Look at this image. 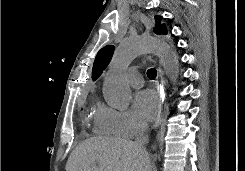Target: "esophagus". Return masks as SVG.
<instances>
[{
	"label": "esophagus",
	"instance_id": "esophagus-1",
	"mask_svg": "<svg viewBox=\"0 0 245 171\" xmlns=\"http://www.w3.org/2000/svg\"><path fill=\"white\" fill-rule=\"evenodd\" d=\"M155 84H156L158 98H159V111L157 113L153 127L154 129H157L161 124L163 111L167 107V92L165 88V81L163 78V71L160 67H158L157 69V78Z\"/></svg>",
	"mask_w": 245,
	"mask_h": 171
}]
</instances>
